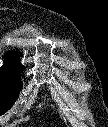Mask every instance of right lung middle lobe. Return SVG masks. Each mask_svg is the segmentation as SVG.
<instances>
[{"instance_id":"dd1d6c3e","label":"right lung middle lobe","mask_w":108,"mask_h":127,"mask_svg":"<svg viewBox=\"0 0 108 127\" xmlns=\"http://www.w3.org/2000/svg\"><path fill=\"white\" fill-rule=\"evenodd\" d=\"M23 66L16 64L4 65L0 68V113L11 108L22 87L20 75Z\"/></svg>"}]
</instances>
